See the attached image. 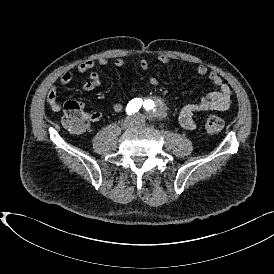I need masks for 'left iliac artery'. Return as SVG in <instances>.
Segmentation results:
<instances>
[{
  "label": "left iliac artery",
  "instance_id": "obj_1",
  "mask_svg": "<svg viewBox=\"0 0 274 274\" xmlns=\"http://www.w3.org/2000/svg\"><path fill=\"white\" fill-rule=\"evenodd\" d=\"M153 107H154V102H153V101H151V100H146V101L144 102V108H145L146 110H151Z\"/></svg>",
  "mask_w": 274,
  "mask_h": 274
}]
</instances>
